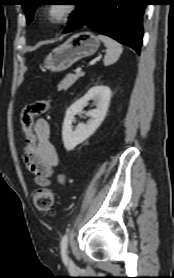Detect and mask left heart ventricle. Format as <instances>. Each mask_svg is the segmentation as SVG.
I'll list each match as a JSON object with an SVG mask.
<instances>
[{"label":"left heart ventricle","instance_id":"left-heart-ventricle-1","mask_svg":"<svg viewBox=\"0 0 174 278\" xmlns=\"http://www.w3.org/2000/svg\"><path fill=\"white\" fill-rule=\"evenodd\" d=\"M61 11H62L61 7L56 6V7H53V8L50 10V13H51L53 16H58V15L61 13Z\"/></svg>","mask_w":174,"mask_h":278}]
</instances>
